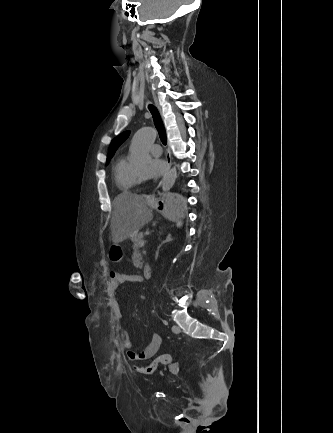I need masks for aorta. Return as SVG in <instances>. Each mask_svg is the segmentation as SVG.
I'll return each mask as SVG.
<instances>
[{"label":"aorta","instance_id":"obj_1","mask_svg":"<svg viewBox=\"0 0 333 433\" xmlns=\"http://www.w3.org/2000/svg\"><path fill=\"white\" fill-rule=\"evenodd\" d=\"M156 139V131L151 127H144L138 130L129 148L131 162L139 167H145L151 162L149 155L150 145ZM177 178V168L173 167L162 180L163 192H168Z\"/></svg>","mask_w":333,"mask_h":433}]
</instances>
